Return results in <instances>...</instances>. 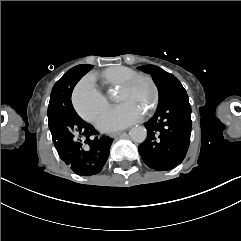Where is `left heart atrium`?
<instances>
[{
	"label": "left heart atrium",
	"mask_w": 241,
	"mask_h": 241,
	"mask_svg": "<svg viewBox=\"0 0 241 241\" xmlns=\"http://www.w3.org/2000/svg\"><path fill=\"white\" fill-rule=\"evenodd\" d=\"M141 119L140 112L125 107L108 109L96 121V126L104 132H113L126 128Z\"/></svg>",
	"instance_id": "39dd6f15"
}]
</instances>
